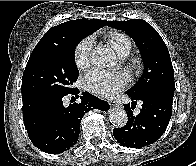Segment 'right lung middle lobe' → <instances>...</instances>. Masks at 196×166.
I'll use <instances>...</instances> for the list:
<instances>
[{
  "label": "right lung middle lobe",
  "mask_w": 196,
  "mask_h": 166,
  "mask_svg": "<svg viewBox=\"0 0 196 166\" xmlns=\"http://www.w3.org/2000/svg\"><path fill=\"white\" fill-rule=\"evenodd\" d=\"M87 36L79 27H70L63 41L39 42L32 51L22 78V95L48 92L67 95L78 78L74 60L77 44Z\"/></svg>",
  "instance_id": "obj_1"
}]
</instances>
